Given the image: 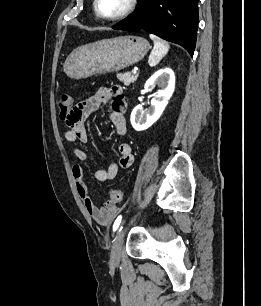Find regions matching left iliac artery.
Listing matches in <instances>:
<instances>
[{
	"label": "left iliac artery",
	"mask_w": 261,
	"mask_h": 306,
	"mask_svg": "<svg viewBox=\"0 0 261 306\" xmlns=\"http://www.w3.org/2000/svg\"><path fill=\"white\" fill-rule=\"evenodd\" d=\"M121 220H122V216L119 215V216L117 217V219L115 220L114 224H113V231H114V232L118 229V227H119V225H120V223H121Z\"/></svg>",
	"instance_id": "1"
}]
</instances>
